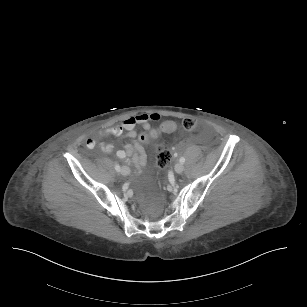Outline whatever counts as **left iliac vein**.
<instances>
[{"label":"left iliac vein","mask_w":307,"mask_h":307,"mask_svg":"<svg viewBox=\"0 0 307 307\" xmlns=\"http://www.w3.org/2000/svg\"><path fill=\"white\" fill-rule=\"evenodd\" d=\"M184 171V165L182 163H177L175 165V172L181 174Z\"/></svg>","instance_id":"left-iliac-vein-1"}]
</instances>
